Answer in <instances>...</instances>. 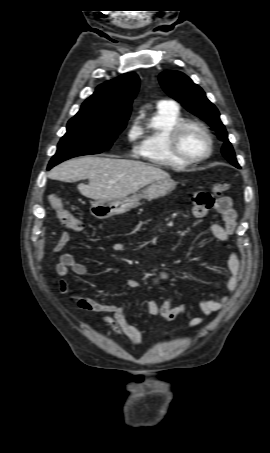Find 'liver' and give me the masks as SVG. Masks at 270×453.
I'll return each mask as SVG.
<instances>
[{"mask_svg":"<svg viewBox=\"0 0 270 453\" xmlns=\"http://www.w3.org/2000/svg\"><path fill=\"white\" fill-rule=\"evenodd\" d=\"M48 177L62 182L88 179L89 184H79L78 190L83 196L98 200L127 197L148 184L170 178V175L140 161L85 156L59 164Z\"/></svg>","mask_w":270,"mask_h":453,"instance_id":"1","label":"liver"}]
</instances>
